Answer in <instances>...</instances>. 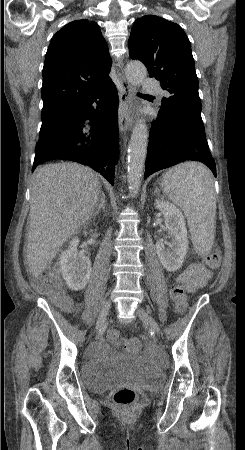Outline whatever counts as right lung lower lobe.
<instances>
[{"label":"right lung lower lobe","instance_id":"98d812e1","mask_svg":"<svg viewBox=\"0 0 245 450\" xmlns=\"http://www.w3.org/2000/svg\"><path fill=\"white\" fill-rule=\"evenodd\" d=\"M118 152V96L109 79L46 120L32 171L44 160H70L90 166L114 185Z\"/></svg>","mask_w":245,"mask_h":450}]
</instances>
